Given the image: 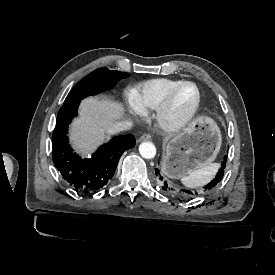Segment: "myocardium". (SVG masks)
Segmentation results:
<instances>
[{"label": "myocardium", "instance_id": "obj_1", "mask_svg": "<svg viewBox=\"0 0 275 275\" xmlns=\"http://www.w3.org/2000/svg\"><path fill=\"white\" fill-rule=\"evenodd\" d=\"M183 85H192L196 91V99L193 106L179 118H170L175 95L178 89ZM201 104V92L197 84L192 81H179L168 92L163 103L157 109L156 122L159 128L165 132L173 133L185 128L194 118Z\"/></svg>", "mask_w": 275, "mask_h": 275}]
</instances>
